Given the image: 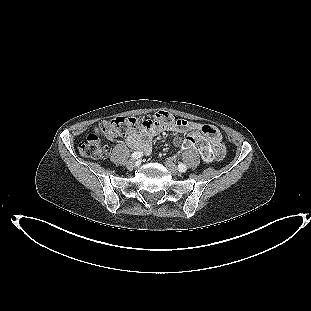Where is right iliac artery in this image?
I'll list each match as a JSON object with an SVG mask.
<instances>
[{"instance_id": "right-iliac-artery-1", "label": "right iliac artery", "mask_w": 311, "mask_h": 311, "mask_svg": "<svg viewBox=\"0 0 311 311\" xmlns=\"http://www.w3.org/2000/svg\"><path fill=\"white\" fill-rule=\"evenodd\" d=\"M142 155H143L142 152H134V153L131 154V158H133V159H138V158H140Z\"/></svg>"}]
</instances>
